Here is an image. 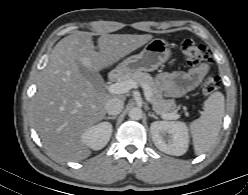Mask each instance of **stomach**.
I'll return each instance as SVG.
<instances>
[{
    "mask_svg": "<svg viewBox=\"0 0 248 195\" xmlns=\"http://www.w3.org/2000/svg\"><path fill=\"white\" fill-rule=\"evenodd\" d=\"M170 56L169 43L164 39L155 38L147 43L139 54L123 60L114 71L118 74L154 71L168 61Z\"/></svg>",
    "mask_w": 248,
    "mask_h": 195,
    "instance_id": "0dacf381",
    "label": "stomach"
}]
</instances>
